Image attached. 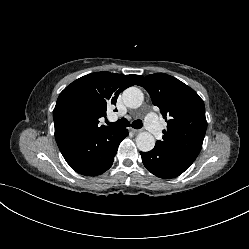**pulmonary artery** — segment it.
<instances>
[{"label":"pulmonary artery","mask_w":249,"mask_h":249,"mask_svg":"<svg viewBox=\"0 0 249 249\" xmlns=\"http://www.w3.org/2000/svg\"><path fill=\"white\" fill-rule=\"evenodd\" d=\"M146 128L157 139L161 138L162 130L158 121V117L155 113H149L144 120Z\"/></svg>","instance_id":"1"}]
</instances>
